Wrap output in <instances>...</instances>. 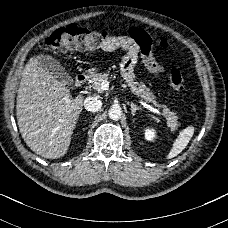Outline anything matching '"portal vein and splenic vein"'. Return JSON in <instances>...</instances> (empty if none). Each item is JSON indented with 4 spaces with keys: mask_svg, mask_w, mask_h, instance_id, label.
I'll return each instance as SVG.
<instances>
[{
    "mask_svg": "<svg viewBox=\"0 0 228 228\" xmlns=\"http://www.w3.org/2000/svg\"><path fill=\"white\" fill-rule=\"evenodd\" d=\"M101 89H102V90H108V89H109V82H108L107 80H103V81L101 82ZM141 104H142L146 109H148V110H150V111H152V112H154V113H160V112L158 111V109L152 107L151 105H149V104H147V103H145V102H141Z\"/></svg>",
    "mask_w": 228,
    "mask_h": 228,
    "instance_id": "obj_1",
    "label": "portal vein and splenic vein"
}]
</instances>
